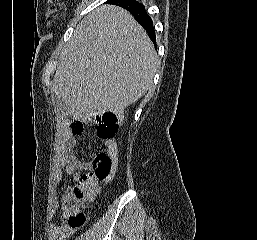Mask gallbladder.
<instances>
[{
  "mask_svg": "<svg viewBox=\"0 0 257 240\" xmlns=\"http://www.w3.org/2000/svg\"><path fill=\"white\" fill-rule=\"evenodd\" d=\"M55 106L57 112L63 116L67 115L70 109V107L59 97H56L55 99Z\"/></svg>",
  "mask_w": 257,
  "mask_h": 240,
  "instance_id": "obj_1",
  "label": "gallbladder"
}]
</instances>
